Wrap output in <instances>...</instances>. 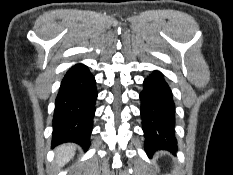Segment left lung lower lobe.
<instances>
[{"mask_svg": "<svg viewBox=\"0 0 233 175\" xmlns=\"http://www.w3.org/2000/svg\"><path fill=\"white\" fill-rule=\"evenodd\" d=\"M142 129L148 155L155 150H177L175 138V104L163 74L154 71L145 78L140 93Z\"/></svg>", "mask_w": 233, "mask_h": 175, "instance_id": "left-lung-lower-lobe-1", "label": "left lung lower lobe"}]
</instances>
